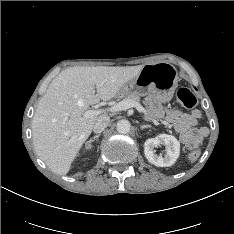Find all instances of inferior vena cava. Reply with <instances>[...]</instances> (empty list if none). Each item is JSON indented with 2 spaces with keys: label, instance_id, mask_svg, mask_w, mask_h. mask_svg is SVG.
Listing matches in <instances>:
<instances>
[{
  "label": "inferior vena cava",
  "instance_id": "602c4592",
  "mask_svg": "<svg viewBox=\"0 0 234 234\" xmlns=\"http://www.w3.org/2000/svg\"><path fill=\"white\" fill-rule=\"evenodd\" d=\"M110 118L107 115H101L97 118L93 125V131L95 133H101L109 125Z\"/></svg>",
  "mask_w": 234,
  "mask_h": 234
}]
</instances>
